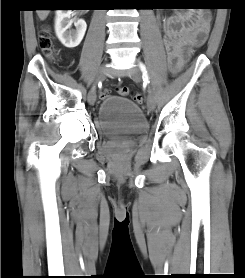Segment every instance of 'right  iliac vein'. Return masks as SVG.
Returning a JSON list of instances; mask_svg holds the SVG:
<instances>
[{"mask_svg":"<svg viewBox=\"0 0 245 278\" xmlns=\"http://www.w3.org/2000/svg\"><path fill=\"white\" fill-rule=\"evenodd\" d=\"M106 72H107L106 66H102L98 69L95 77V84H97L98 82L104 79ZM95 101H96V91L95 88H92L88 95V102L90 105H94Z\"/></svg>","mask_w":245,"mask_h":278,"instance_id":"right-iliac-vein-1","label":"right iliac vein"}]
</instances>
